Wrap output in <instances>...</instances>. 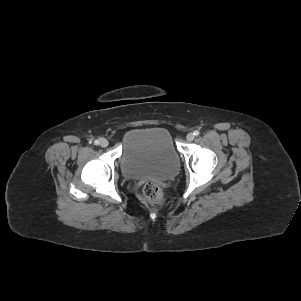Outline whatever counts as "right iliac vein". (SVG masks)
<instances>
[{"label":"right iliac vein","mask_w":301,"mask_h":301,"mask_svg":"<svg viewBox=\"0 0 301 301\" xmlns=\"http://www.w3.org/2000/svg\"><path fill=\"white\" fill-rule=\"evenodd\" d=\"M109 144L108 140L105 138H100L99 139V145L103 148L107 147Z\"/></svg>","instance_id":"63e3f726"}]
</instances>
